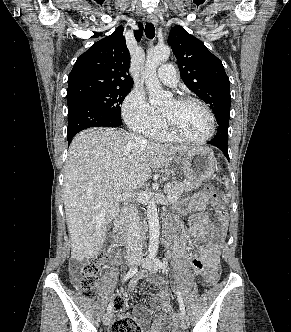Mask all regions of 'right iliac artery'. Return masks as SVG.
Here are the masks:
<instances>
[{
    "instance_id": "obj_1",
    "label": "right iliac artery",
    "mask_w": 291,
    "mask_h": 332,
    "mask_svg": "<svg viewBox=\"0 0 291 332\" xmlns=\"http://www.w3.org/2000/svg\"><path fill=\"white\" fill-rule=\"evenodd\" d=\"M138 268L137 266H133L128 273L126 274V276H124V278L122 279V282L127 281L129 278H131L132 276H134L137 272ZM112 311V304L110 303L107 307V313H110Z\"/></svg>"
}]
</instances>
